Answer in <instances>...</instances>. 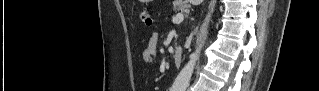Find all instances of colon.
Wrapping results in <instances>:
<instances>
[{"mask_svg": "<svg viewBox=\"0 0 319 91\" xmlns=\"http://www.w3.org/2000/svg\"><path fill=\"white\" fill-rule=\"evenodd\" d=\"M140 21L146 26H151L153 24L152 12L149 8H144L139 12Z\"/></svg>", "mask_w": 319, "mask_h": 91, "instance_id": "5ec220e1", "label": "colon"}]
</instances>
